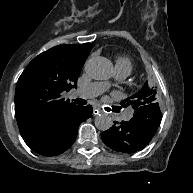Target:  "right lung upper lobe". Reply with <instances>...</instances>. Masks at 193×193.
<instances>
[{
  "mask_svg": "<svg viewBox=\"0 0 193 193\" xmlns=\"http://www.w3.org/2000/svg\"><path fill=\"white\" fill-rule=\"evenodd\" d=\"M92 45L55 46L35 57L15 91V115L23 138L51 133L79 106L61 98L76 87Z\"/></svg>",
  "mask_w": 193,
  "mask_h": 193,
  "instance_id": "right-lung-upper-lobe-1",
  "label": "right lung upper lobe"
}]
</instances>
